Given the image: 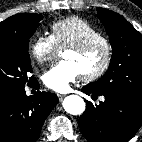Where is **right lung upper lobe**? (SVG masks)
<instances>
[{
	"instance_id": "1",
	"label": "right lung upper lobe",
	"mask_w": 142,
	"mask_h": 142,
	"mask_svg": "<svg viewBox=\"0 0 142 142\" xmlns=\"http://www.w3.org/2000/svg\"><path fill=\"white\" fill-rule=\"evenodd\" d=\"M19 15H20V14L11 16V17H9L8 19H6L5 21L0 22V27H5V26H7V25H12L13 22L15 21V19H16ZM6 98H7V96L0 94V103H1L2 101H4Z\"/></svg>"
}]
</instances>
